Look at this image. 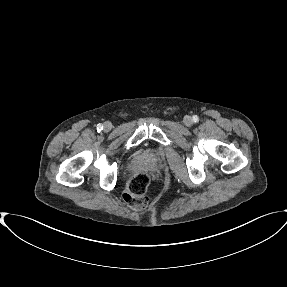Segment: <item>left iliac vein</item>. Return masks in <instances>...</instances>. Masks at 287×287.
<instances>
[{
    "instance_id": "left-iliac-vein-1",
    "label": "left iliac vein",
    "mask_w": 287,
    "mask_h": 287,
    "mask_svg": "<svg viewBox=\"0 0 287 287\" xmlns=\"http://www.w3.org/2000/svg\"><path fill=\"white\" fill-rule=\"evenodd\" d=\"M184 123H185V125H187V126L192 125V118H191L190 116H185V117H184Z\"/></svg>"
}]
</instances>
